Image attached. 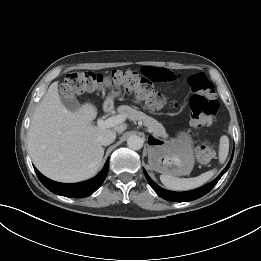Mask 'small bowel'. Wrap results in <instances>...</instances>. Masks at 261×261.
<instances>
[{"instance_id": "1", "label": "small bowel", "mask_w": 261, "mask_h": 261, "mask_svg": "<svg viewBox=\"0 0 261 261\" xmlns=\"http://www.w3.org/2000/svg\"><path fill=\"white\" fill-rule=\"evenodd\" d=\"M142 73L154 82H171L176 79L174 72L161 67H145L142 69Z\"/></svg>"}]
</instances>
